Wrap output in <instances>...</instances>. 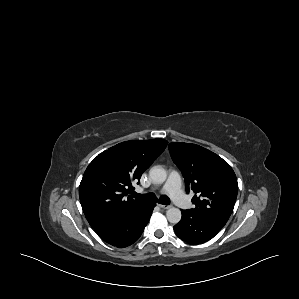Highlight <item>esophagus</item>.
<instances>
[{"instance_id":"obj_1","label":"esophagus","mask_w":299,"mask_h":299,"mask_svg":"<svg viewBox=\"0 0 299 299\" xmlns=\"http://www.w3.org/2000/svg\"><path fill=\"white\" fill-rule=\"evenodd\" d=\"M158 206L162 209H169L171 207L170 205H163V204H158Z\"/></svg>"}]
</instances>
